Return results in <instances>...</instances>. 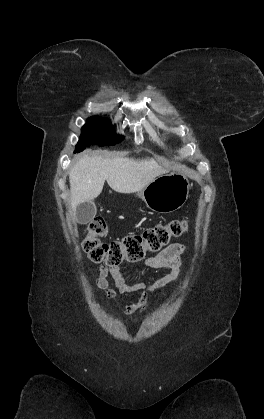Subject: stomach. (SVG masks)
Segmentation results:
<instances>
[{"label":"stomach","instance_id":"obj_1","mask_svg":"<svg viewBox=\"0 0 264 419\" xmlns=\"http://www.w3.org/2000/svg\"><path fill=\"white\" fill-rule=\"evenodd\" d=\"M189 190L188 178L180 172H172L158 176L137 195L152 211L171 213L185 204Z\"/></svg>","mask_w":264,"mask_h":419}]
</instances>
